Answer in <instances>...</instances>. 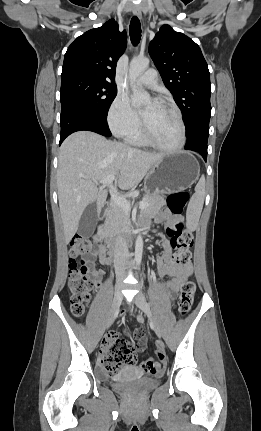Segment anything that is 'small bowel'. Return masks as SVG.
<instances>
[{"mask_svg":"<svg viewBox=\"0 0 261 431\" xmlns=\"http://www.w3.org/2000/svg\"><path fill=\"white\" fill-rule=\"evenodd\" d=\"M157 220H166L170 226H174L175 223L178 221V219L172 216L169 212H164L157 217ZM145 222H148V220H145ZM161 246L163 249V253L157 258V267L161 275L170 277V279L166 282L165 291L169 297L173 298L175 297L183 283L191 277L193 273V268L191 264L178 265L172 260L171 245L167 240L162 239ZM89 256L92 259V261L90 262L92 265L94 263V259L98 260L99 263L103 265L111 264V260L107 255L106 249L103 245H98L97 247L91 248ZM92 275L94 286L96 287V289H99L101 286L102 278L104 276V270L93 268ZM136 334L140 335L137 350L142 351L146 347V338L142 335L141 330H137ZM106 339L104 340L103 345L105 344ZM135 363L136 357L134 354L133 360L129 364L134 365ZM139 366L140 364L138 365V368Z\"/></svg>","mask_w":261,"mask_h":431,"instance_id":"obj_1","label":"small bowel"}]
</instances>
